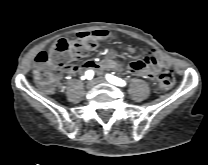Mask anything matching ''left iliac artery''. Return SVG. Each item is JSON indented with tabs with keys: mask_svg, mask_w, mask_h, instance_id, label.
I'll use <instances>...</instances> for the list:
<instances>
[{
	"mask_svg": "<svg viewBox=\"0 0 208 165\" xmlns=\"http://www.w3.org/2000/svg\"><path fill=\"white\" fill-rule=\"evenodd\" d=\"M106 79H107L110 83H112V84H114V85H117V86H125V85H126L125 81H123V80H121L120 78H117V77H115V76H113V75H110V74H107V75H106Z\"/></svg>",
	"mask_w": 208,
	"mask_h": 165,
	"instance_id": "left-iliac-artery-1",
	"label": "left iliac artery"
}]
</instances>
